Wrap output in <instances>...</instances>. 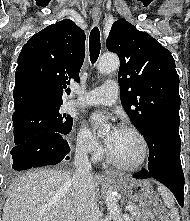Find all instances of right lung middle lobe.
<instances>
[{
	"instance_id": "1",
	"label": "right lung middle lobe",
	"mask_w": 190,
	"mask_h": 221,
	"mask_svg": "<svg viewBox=\"0 0 190 221\" xmlns=\"http://www.w3.org/2000/svg\"><path fill=\"white\" fill-rule=\"evenodd\" d=\"M61 105H36L24 111L13 113L15 145H20L43 132H70L73 119L70 115L60 112Z\"/></svg>"
}]
</instances>
